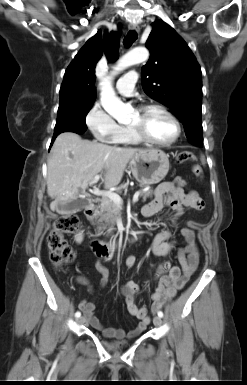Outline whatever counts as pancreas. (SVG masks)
Instances as JSON below:
<instances>
[{"label": "pancreas", "instance_id": "1", "mask_svg": "<svg viewBox=\"0 0 247 385\" xmlns=\"http://www.w3.org/2000/svg\"><path fill=\"white\" fill-rule=\"evenodd\" d=\"M119 193L121 191H118ZM153 190H143L140 192V196L143 199V202L146 201L148 197H152ZM100 219L99 222H104L106 225H110L109 231L114 230V225L116 223L117 218L121 215V208L119 205L114 203L109 198H104L100 205V211L98 213ZM106 226L104 225L103 228Z\"/></svg>", "mask_w": 247, "mask_h": 385}]
</instances>
